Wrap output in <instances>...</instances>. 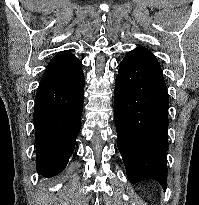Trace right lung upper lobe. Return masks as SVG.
<instances>
[{"instance_id":"cb5924a9","label":"right lung upper lobe","mask_w":199,"mask_h":205,"mask_svg":"<svg viewBox=\"0 0 199 205\" xmlns=\"http://www.w3.org/2000/svg\"><path fill=\"white\" fill-rule=\"evenodd\" d=\"M82 70V63L69 51H61L49 62L43 76L54 74L60 78L69 77Z\"/></svg>"}]
</instances>
